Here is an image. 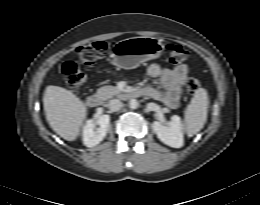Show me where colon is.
<instances>
[{
    "label": "colon",
    "instance_id": "1",
    "mask_svg": "<svg viewBox=\"0 0 260 205\" xmlns=\"http://www.w3.org/2000/svg\"><path fill=\"white\" fill-rule=\"evenodd\" d=\"M166 50L172 63H181L189 57L187 49L177 43L167 44ZM75 53L83 64L93 65L104 57L106 44L104 42L87 43L77 47ZM62 75L65 85L72 91H78L85 81V74L73 61L63 63ZM186 87L190 94H195L200 88V83L197 79L191 78L187 81Z\"/></svg>",
    "mask_w": 260,
    "mask_h": 205
}]
</instances>
